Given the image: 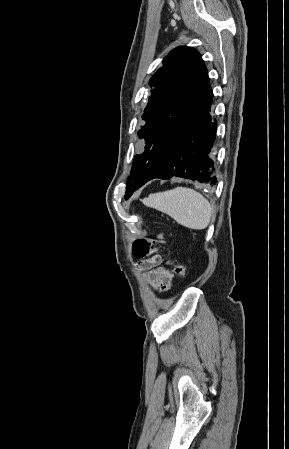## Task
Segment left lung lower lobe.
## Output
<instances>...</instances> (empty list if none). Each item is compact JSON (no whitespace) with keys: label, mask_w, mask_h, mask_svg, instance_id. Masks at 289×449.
Here are the masks:
<instances>
[{"label":"left lung lower lobe","mask_w":289,"mask_h":449,"mask_svg":"<svg viewBox=\"0 0 289 449\" xmlns=\"http://www.w3.org/2000/svg\"><path fill=\"white\" fill-rule=\"evenodd\" d=\"M212 98L213 92L208 84L190 117L166 137V158L161 172L139 187L154 178L170 179L174 176L204 184H216L212 148L217 121L210 115Z\"/></svg>","instance_id":"0a47b994"}]
</instances>
